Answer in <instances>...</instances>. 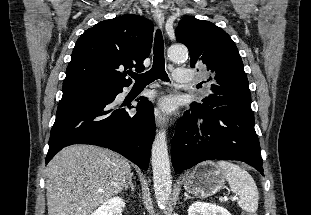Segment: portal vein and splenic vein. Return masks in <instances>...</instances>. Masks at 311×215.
<instances>
[{
  "label": "portal vein and splenic vein",
  "mask_w": 311,
  "mask_h": 215,
  "mask_svg": "<svg viewBox=\"0 0 311 215\" xmlns=\"http://www.w3.org/2000/svg\"><path fill=\"white\" fill-rule=\"evenodd\" d=\"M236 199H237L236 196H234V197L232 198V200H236ZM222 200H223V201H227V200H228L227 196H224V197L222 198Z\"/></svg>",
  "instance_id": "portal-vein-and-splenic-vein-1"
}]
</instances>
